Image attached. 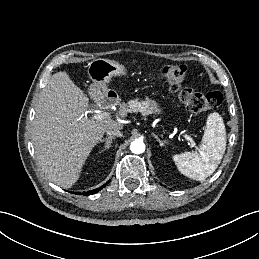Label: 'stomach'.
I'll return each mask as SVG.
<instances>
[{"label": "stomach", "instance_id": "stomach-1", "mask_svg": "<svg viewBox=\"0 0 259 259\" xmlns=\"http://www.w3.org/2000/svg\"><path fill=\"white\" fill-rule=\"evenodd\" d=\"M87 73L93 82L90 86V94L94 96L106 92L107 84L111 79L126 75L127 70L124 65L114 60L99 58L89 63ZM145 102L148 103L151 112L155 115L163 113L162 108L155 101L146 99Z\"/></svg>", "mask_w": 259, "mask_h": 259}]
</instances>
